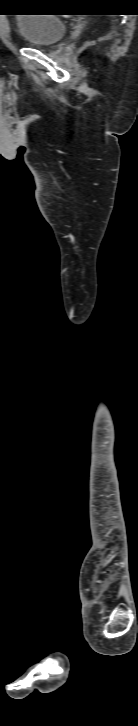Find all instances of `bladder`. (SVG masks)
Returning <instances> with one entry per match:
<instances>
[{"label": "bladder", "mask_w": 138, "mask_h": 726, "mask_svg": "<svg viewBox=\"0 0 138 726\" xmlns=\"http://www.w3.org/2000/svg\"><path fill=\"white\" fill-rule=\"evenodd\" d=\"M15 23L24 43L36 48L57 44L67 31L64 21L44 14H24Z\"/></svg>", "instance_id": "1"}]
</instances>
